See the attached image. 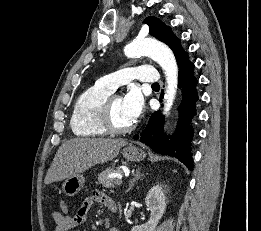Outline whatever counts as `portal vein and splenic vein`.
Masks as SVG:
<instances>
[{
  "mask_svg": "<svg viewBox=\"0 0 261 231\" xmlns=\"http://www.w3.org/2000/svg\"><path fill=\"white\" fill-rule=\"evenodd\" d=\"M117 176V180H116V184L117 185H120L122 183L121 179H122V176L120 174L116 175ZM109 177H111V175H109Z\"/></svg>",
  "mask_w": 261,
  "mask_h": 231,
  "instance_id": "obj_1",
  "label": "portal vein and splenic vein"
}]
</instances>
